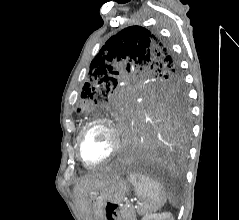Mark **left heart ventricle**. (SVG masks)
I'll return each instance as SVG.
<instances>
[{
	"mask_svg": "<svg viewBox=\"0 0 239 220\" xmlns=\"http://www.w3.org/2000/svg\"><path fill=\"white\" fill-rule=\"evenodd\" d=\"M112 147L113 136L109 128L97 125L86 132L82 142V153L86 160L96 162L104 159Z\"/></svg>",
	"mask_w": 239,
	"mask_h": 220,
	"instance_id": "left-heart-ventricle-1",
	"label": "left heart ventricle"
}]
</instances>
